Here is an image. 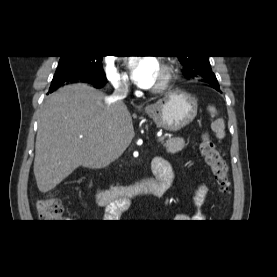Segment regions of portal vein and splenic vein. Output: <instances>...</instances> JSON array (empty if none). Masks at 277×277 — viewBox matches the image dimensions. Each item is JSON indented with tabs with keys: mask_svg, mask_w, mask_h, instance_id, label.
I'll list each match as a JSON object with an SVG mask.
<instances>
[{
	"mask_svg": "<svg viewBox=\"0 0 277 277\" xmlns=\"http://www.w3.org/2000/svg\"><path fill=\"white\" fill-rule=\"evenodd\" d=\"M166 139V136H161L158 138V142H163Z\"/></svg>",
	"mask_w": 277,
	"mask_h": 277,
	"instance_id": "portal-vein-and-splenic-vein-1",
	"label": "portal vein and splenic vein"
}]
</instances>
